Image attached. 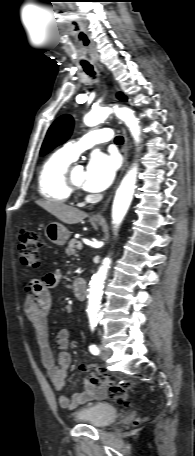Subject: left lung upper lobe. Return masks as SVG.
<instances>
[{
	"instance_id": "left-lung-upper-lobe-1",
	"label": "left lung upper lobe",
	"mask_w": 195,
	"mask_h": 456,
	"mask_svg": "<svg viewBox=\"0 0 195 456\" xmlns=\"http://www.w3.org/2000/svg\"><path fill=\"white\" fill-rule=\"evenodd\" d=\"M117 97L126 101V97L122 93H118ZM73 129V119L70 115H62L49 128L45 140L42 144L40 155L44 156L56 146L64 143L71 135Z\"/></svg>"
}]
</instances>
